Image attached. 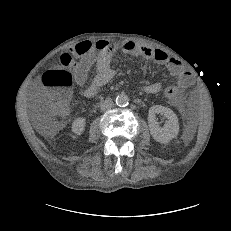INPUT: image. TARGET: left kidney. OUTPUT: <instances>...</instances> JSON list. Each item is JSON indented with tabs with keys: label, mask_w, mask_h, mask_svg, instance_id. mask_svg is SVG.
Listing matches in <instances>:
<instances>
[{
	"label": "left kidney",
	"mask_w": 231,
	"mask_h": 231,
	"mask_svg": "<svg viewBox=\"0 0 231 231\" xmlns=\"http://www.w3.org/2000/svg\"><path fill=\"white\" fill-rule=\"evenodd\" d=\"M159 113L168 119L163 127H160L156 120V114ZM148 125L152 137L160 143L169 142L179 132V123L176 114L170 108L161 105H155L149 109Z\"/></svg>",
	"instance_id": "left-kidney-1"
}]
</instances>
